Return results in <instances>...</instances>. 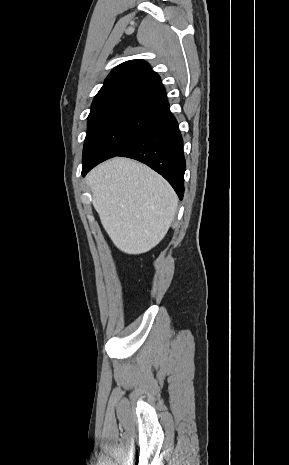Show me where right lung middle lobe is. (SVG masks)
<instances>
[{"instance_id":"dd1d6c3e","label":"right lung middle lobe","mask_w":289,"mask_h":465,"mask_svg":"<svg viewBox=\"0 0 289 465\" xmlns=\"http://www.w3.org/2000/svg\"><path fill=\"white\" fill-rule=\"evenodd\" d=\"M164 109L162 105L128 102L88 116L83 162L117 156L158 119Z\"/></svg>"}]
</instances>
